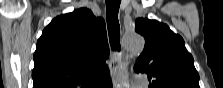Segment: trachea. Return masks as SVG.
I'll return each instance as SVG.
<instances>
[{
    "label": "trachea",
    "mask_w": 223,
    "mask_h": 88,
    "mask_svg": "<svg viewBox=\"0 0 223 88\" xmlns=\"http://www.w3.org/2000/svg\"><path fill=\"white\" fill-rule=\"evenodd\" d=\"M121 0H106V20L110 46L113 51H120L118 11Z\"/></svg>",
    "instance_id": "obj_1"
}]
</instances>
